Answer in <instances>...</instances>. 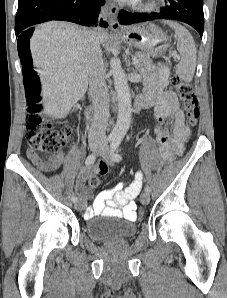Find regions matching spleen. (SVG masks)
I'll return each instance as SVG.
<instances>
[{
	"mask_svg": "<svg viewBox=\"0 0 227 298\" xmlns=\"http://www.w3.org/2000/svg\"><path fill=\"white\" fill-rule=\"evenodd\" d=\"M174 31L177 39V50L180 54V61L176 65V74L178 77L186 82L193 79L196 68V46L194 39L190 32L174 21H166Z\"/></svg>",
	"mask_w": 227,
	"mask_h": 298,
	"instance_id": "1",
	"label": "spleen"
}]
</instances>
